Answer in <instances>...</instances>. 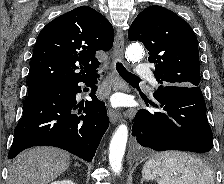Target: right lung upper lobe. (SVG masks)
Listing matches in <instances>:
<instances>
[{"label":"right lung upper lobe","mask_w":224,"mask_h":184,"mask_svg":"<svg viewBox=\"0 0 224 184\" xmlns=\"http://www.w3.org/2000/svg\"><path fill=\"white\" fill-rule=\"evenodd\" d=\"M114 41L110 22L81 6L49 22L39 33L29 70L28 87H48L95 76L96 51H109Z\"/></svg>","instance_id":"1"}]
</instances>
